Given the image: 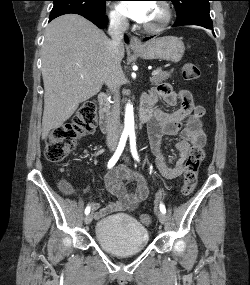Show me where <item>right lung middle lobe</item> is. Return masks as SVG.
Here are the masks:
<instances>
[{"mask_svg":"<svg viewBox=\"0 0 250 285\" xmlns=\"http://www.w3.org/2000/svg\"><path fill=\"white\" fill-rule=\"evenodd\" d=\"M54 2L50 18L72 12L105 13L107 0H52Z\"/></svg>","mask_w":250,"mask_h":285,"instance_id":"obj_1","label":"right lung middle lobe"}]
</instances>
